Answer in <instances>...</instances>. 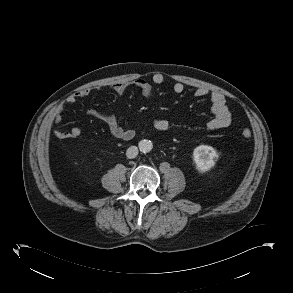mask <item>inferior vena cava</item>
Returning <instances> with one entry per match:
<instances>
[{
  "label": "inferior vena cava",
  "mask_w": 293,
  "mask_h": 293,
  "mask_svg": "<svg viewBox=\"0 0 293 293\" xmlns=\"http://www.w3.org/2000/svg\"><path fill=\"white\" fill-rule=\"evenodd\" d=\"M138 155V148L136 146H130L126 151V156L129 159L135 158Z\"/></svg>",
  "instance_id": "inferior-vena-cava-1"
}]
</instances>
